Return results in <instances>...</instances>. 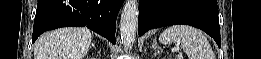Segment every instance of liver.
<instances>
[{
    "mask_svg": "<svg viewBox=\"0 0 261 59\" xmlns=\"http://www.w3.org/2000/svg\"><path fill=\"white\" fill-rule=\"evenodd\" d=\"M92 41L87 28H61L42 34L34 47V59H83Z\"/></svg>",
    "mask_w": 261,
    "mask_h": 59,
    "instance_id": "1",
    "label": "liver"
}]
</instances>
